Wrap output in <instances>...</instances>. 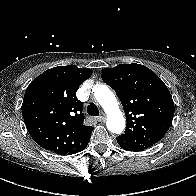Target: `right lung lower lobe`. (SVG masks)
Wrapping results in <instances>:
<instances>
[{"instance_id":"right-lung-lower-lobe-1","label":"right lung lower lobe","mask_w":196,"mask_h":196,"mask_svg":"<svg viewBox=\"0 0 196 196\" xmlns=\"http://www.w3.org/2000/svg\"><path fill=\"white\" fill-rule=\"evenodd\" d=\"M87 144H88V142L85 143L82 147H80L77 150L73 151L71 154H75V153H78V152L82 151L87 146ZM71 154H69V155H71Z\"/></svg>"}]
</instances>
